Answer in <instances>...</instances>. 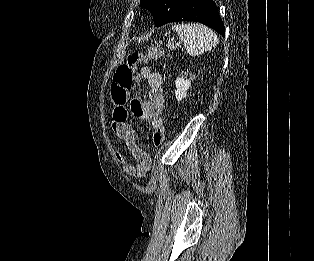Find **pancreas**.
Returning a JSON list of instances; mask_svg holds the SVG:
<instances>
[{"instance_id":"obj_1","label":"pancreas","mask_w":314,"mask_h":261,"mask_svg":"<svg viewBox=\"0 0 314 261\" xmlns=\"http://www.w3.org/2000/svg\"><path fill=\"white\" fill-rule=\"evenodd\" d=\"M166 46L170 50H174L176 48L175 45L173 43H171V42H169Z\"/></svg>"}]
</instances>
